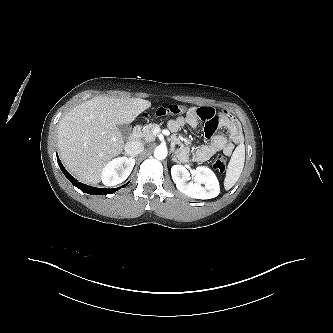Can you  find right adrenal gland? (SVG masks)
Returning a JSON list of instances; mask_svg holds the SVG:
<instances>
[{
	"instance_id": "1",
	"label": "right adrenal gland",
	"mask_w": 333,
	"mask_h": 333,
	"mask_svg": "<svg viewBox=\"0 0 333 333\" xmlns=\"http://www.w3.org/2000/svg\"><path fill=\"white\" fill-rule=\"evenodd\" d=\"M123 154H124V155H127V153H125V152H124ZM131 158H135V156H131Z\"/></svg>"
}]
</instances>
